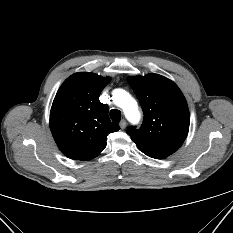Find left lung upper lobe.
Masks as SVG:
<instances>
[{"instance_id": "5c2ea615", "label": "left lung upper lobe", "mask_w": 233, "mask_h": 233, "mask_svg": "<svg viewBox=\"0 0 233 233\" xmlns=\"http://www.w3.org/2000/svg\"><path fill=\"white\" fill-rule=\"evenodd\" d=\"M144 120L140 129L127 133L143 153L171 155L183 144L189 130L190 114L177 85L158 74L130 77Z\"/></svg>"}]
</instances>
